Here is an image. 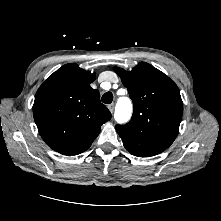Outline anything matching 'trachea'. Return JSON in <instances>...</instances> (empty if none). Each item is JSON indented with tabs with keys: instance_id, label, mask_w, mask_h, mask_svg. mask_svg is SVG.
Returning a JSON list of instances; mask_svg holds the SVG:
<instances>
[{
	"instance_id": "3493384b",
	"label": "trachea",
	"mask_w": 221,
	"mask_h": 221,
	"mask_svg": "<svg viewBox=\"0 0 221 221\" xmlns=\"http://www.w3.org/2000/svg\"><path fill=\"white\" fill-rule=\"evenodd\" d=\"M101 100L105 104H110L113 101V94L111 92H106L105 94H103Z\"/></svg>"
}]
</instances>
